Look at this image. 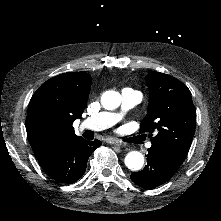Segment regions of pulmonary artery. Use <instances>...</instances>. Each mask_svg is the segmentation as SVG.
<instances>
[{
  "label": "pulmonary artery",
  "mask_w": 221,
  "mask_h": 221,
  "mask_svg": "<svg viewBox=\"0 0 221 221\" xmlns=\"http://www.w3.org/2000/svg\"><path fill=\"white\" fill-rule=\"evenodd\" d=\"M139 103V96L134 91H127L122 96V103L118 109L110 112H102L100 114L88 115L82 119L83 126L93 131H101L103 129H111L114 126H120L125 119H130L135 114V107Z\"/></svg>",
  "instance_id": "e3ab8cb5"
}]
</instances>
